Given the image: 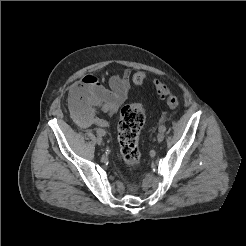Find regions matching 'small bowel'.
Masks as SVG:
<instances>
[{
    "mask_svg": "<svg viewBox=\"0 0 246 246\" xmlns=\"http://www.w3.org/2000/svg\"><path fill=\"white\" fill-rule=\"evenodd\" d=\"M109 89L103 87L92 74L85 75L69 88V108L75 123L81 128L98 126L105 128L108 122L99 113L115 115L128 99L130 72L114 75L109 79Z\"/></svg>",
    "mask_w": 246,
    "mask_h": 246,
    "instance_id": "c3829d8e",
    "label": "small bowel"
}]
</instances>
